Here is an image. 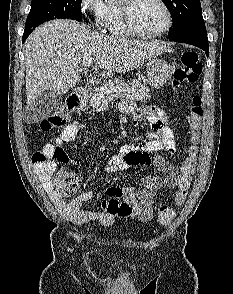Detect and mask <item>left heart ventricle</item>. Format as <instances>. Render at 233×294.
I'll list each match as a JSON object with an SVG mask.
<instances>
[{"label":"left heart ventricle","instance_id":"b2bd125f","mask_svg":"<svg viewBox=\"0 0 233 294\" xmlns=\"http://www.w3.org/2000/svg\"><path fill=\"white\" fill-rule=\"evenodd\" d=\"M136 27L145 33H155L167 23L164 9L156 0H138L133 8Z\"/></svg>","mask_w":233,"mask_h":294}]
</instances>
